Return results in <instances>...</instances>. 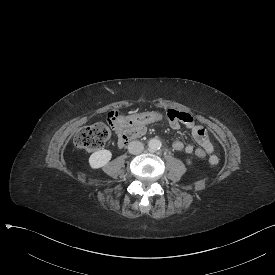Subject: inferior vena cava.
Listing matches in <instances>:
<instances>
[{"label":"inferior vena cava","instance_id":"1","mask_svg":"<svg viewBox=\"0 0 275 275\" xmlns=\"http://www.w3.org/2000/svg\"><path fill=\"white\" fill-rule=\"evenodd\" d=\"M144 150V145L140 141H132L128 144V151L131 154L137 155Z\"/></svg>","mask_w":275,"mask_h":275}]
</instances>
